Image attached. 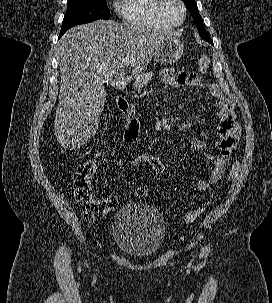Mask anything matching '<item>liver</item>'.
<instances>
[{
    "label": "liver",
    "instance_id": "obj_1",
    "mask_svg": "<svg viewBox=\"0 0 272 303\" xmlns=\"http://www.w3.org/2000/svg\"><path fill=\"white\" fill-rule=\"evenodd\" d=\"M171 33L97 20L69 29L60 39V94L54 131L64 149H77L97 132L111 81L130 66L140 73ZM127 59V64L123 60Z\"/></svg>",
    "mask_w": 272,
    "mask_h": 303
}]
</instances>
